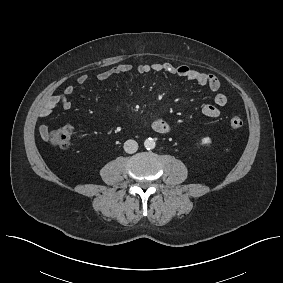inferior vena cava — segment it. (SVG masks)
<instances>
[{"label": "inferior vena cava", "mask_w": 283, "mask_h": 283, "mask_svg": "<svg viewBox=\"0 0 283 283\" xmlns=\"http://www.w3.org/2000/svg\"><path fill=\"white\" fill-rule=\"evenodd\" d=\"M124 150L129 154L135 153L138 150V143L135 140H127L124 143Z\"/></svg>", "instance_id": "inferior-vena-cava-1"}]
</instances>
